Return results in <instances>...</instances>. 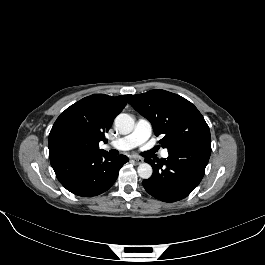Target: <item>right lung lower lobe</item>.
I'll use <instances>...</instances> for the list:
<instances>
[{"label":"right lung lower lobe","instance_id":"1","mask_svg":"<svg viewBox=\"0 0 265 265\" xmlns=\"http://www.w3.org/2000/svg\"><path fill=\"white\" fill-rule=\"evenodd\" d=\"M127 161L125 155L114 157L105 151L50 159L59 182L71 193L82 197L96 196L108 190Z\"/></svg>","mask_w":265,"mask_h":265}]
</instances>
